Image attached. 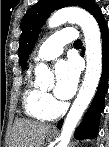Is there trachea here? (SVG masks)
<instances>
[{"label": "trachea", "mask_w": 109, "mask_h": 147, "mask_svg": "<svg viewBox=\"0 0 109 147\" xmlns=\"http://www.w3.org/2000/svg\"><path fill=\"white\" fill-rule=\"evenodd\" d=\"M80 44H82V41L79 39L74 42V45H80Z\"/></svg>", "instance_id": "obj_1"}]
</instances>
